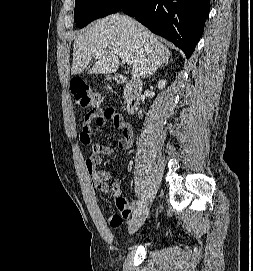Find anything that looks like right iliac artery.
Masks as SVG:
<instances>
[{"label": "right iliac artery", "instance_id": "82829eb1", "mask_svg": "<svg viewBox=\"0 0 253 271\" xmlns=\"http://www.w3.org/2000/svg\"><path fill=\"white\" fill-rule=\"evenodd\" d=\"M142 208V201H139L137 203V208L135 209V211L133 212V216H135Z\"/></svg>", "mask_w": 253, "mask_h": 271}]
</instances>
